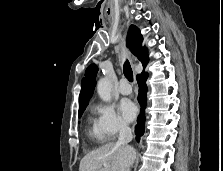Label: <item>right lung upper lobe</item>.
I'll return each instance as SVG.
<instances>
[{"label": "right lung upper lobe", "mask_w": 223, "mask_h": 171, "mask_svg": "<svg viewBox=\"0 0 223 171\" xmlns=\"http://www.w3.org/2000/svg\"><path fill=\"white\" fill-rule=\"evenodd\" d=\"M143 37L140 30L135 25L129 27L126 43L130 51L142 62L143 67H146L148 62L147 49L142 47ZM98 67L95 64L88 66L85 72V77L81 82V92L79 108L87 106L90 98L93 95L94 87L96 85V74Z\"/></svg>", "instance_id": "right-lung-upper-lobe-1"}]
</instances>
